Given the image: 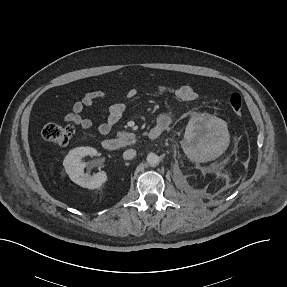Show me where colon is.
<instances>
[{
  "instance_id": "5ec220e1",
  "label": "colon",
  "mask_w": 287,
  "mask_h": 287,
  "mask_svg": "<svg viewBox=\"0 0 287 287\" xmlns=\"http://www.w3.org/2000/svg\"><path fill=\"white\" fill-rule=\"evenodd\" d=\"M229 107L232 113L240 117L243 113V100L240 94H232L229 99ZM42 137L44 140L57 145L64 146L68 144L74 135V128L72 126H64L59 124H47L42 129Z\"/></svg>"
}]
</instances>
